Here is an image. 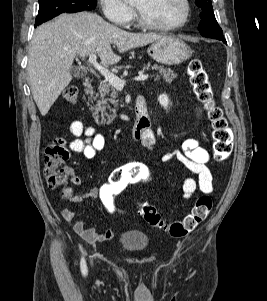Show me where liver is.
Wrapping results in <instances>:
<instances>
[{"mask_svg": "<svg viewBox=\"0 0 267 301\" xmlns=\"http://www.w3.org/2000/svg\"><path fill=\"white\" fill-rule=\"evenodd\" d=\"M163 35L129 33L95 13L62 14L39 26L28 54L27 72L34 101L45 116L61 92L72 80L71 66L75 56L98 54L103 65L121 60L111 45L123 53L155 42Z\"/></svg>", "mask_w": 267, "mask_h": 301, "instance_id": "obj_1", "label": "liver"}]
</instances>
